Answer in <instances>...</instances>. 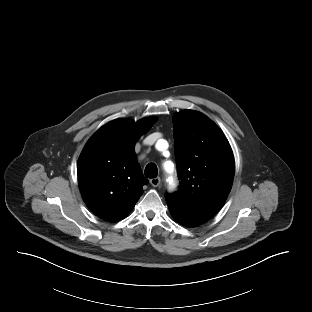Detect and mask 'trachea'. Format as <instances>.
Wrapping results in <instances>:
<instances>
[{
    "instance_id": "obj_1",
    "label": "trachea",
    "mask_w": 312,
    "mask_h": 312,
    "mask_svg": "<svg viewBox=\"0 0 312 312\" xmlns=\"http://www.w3.org/2000/svg\"><path fill=\"white\" fill-rule=\"evenodd\" d=\"M158 169L157 166L153 163H149L145 168V176L148 178L157 177Z\"/></svg>"
}]
</instances>
